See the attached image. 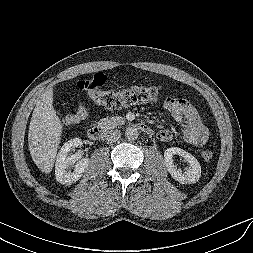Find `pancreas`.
<instances>
[{
    "mask_svg": "<svg viewBox=\"0 0 253 253\" xmlns=\"http://www.w3.org/2000/svg\"><path fill=\"white\" fill-rule=\"evenodd\" d=\"M124 123V119L122 117H107V118H103L98 122V125L104 129L106 128H114L117 125L123 124Z\"/></svg>",
    "mask_w": 253,
    "mask_h": 253,
    "instance_id": "cf45deb5",
    "label": "pancreas"
}]
</instances>
